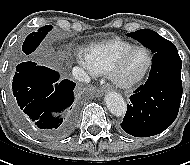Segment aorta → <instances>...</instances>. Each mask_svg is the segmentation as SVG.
<instances>
[{
    "label": "aorta",
    "instance_id": "762f6f07",
    "mask_svg": "<svg viewBox=\"0 0 190 165\" xmlns=\"http://www.w3.org/2000/svg\"><path fill=\"white\" fill-rule=\"evenodd\" d=\"M105 103L109 111L117 116L122 117L125 115L127 106L124 98L117 92H109L105 96Z\"/></svg>",
    "mask_w": 190,
    "mask_h": 165
}]
</instances>
